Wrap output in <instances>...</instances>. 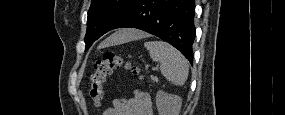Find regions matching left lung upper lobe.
<instances>
[{
  "label": "left lung upper lobe",
  "mask_w": 285,
  "mask_h": 115,
  "mask_svg": "<svg viewBox=\"0 0 285 115\" xmlns=\"http://www.w3.org/2000/svg\"><path fill=\"white\" fill-rule=\"evenodd\" d=\"M135 0H92L88 11L86 50L99 37L110 31L119 17Z\"/></svg>",
  "instance_id": "5c2ea615"
}]
</instances>
